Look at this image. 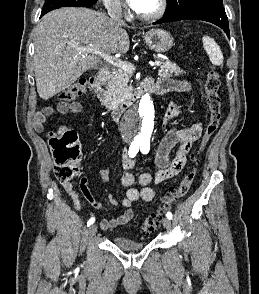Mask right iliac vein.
I'll use <instances>...</instances> for the list:
<instances>
[{
  "mask_svg": "<svg viewBox=\"0 0 259 294\" xmlns=\"http://www.w3.org/2000/svg\"><path fill=\"white\" fill-rule=\"evenodd\" d=\"M97 232V226L95 224L89 227L88 233L90 237H93Z\"/></svg>",
  "mask_w": 259,
  "mask_h": 294,
  "instance_id": "1",
  "label": "right iliac vein"
}]
</instances>
